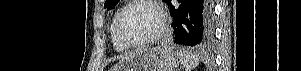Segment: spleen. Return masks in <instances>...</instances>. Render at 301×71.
Masks as SVG:
<instances>
[{
    "mask_svg": "<svg viewBox=\"0 0 301 71\" xmlns=\"http://www.w3.org/2000/svg\"><path fill=\"white\" fill-rule=\"evenodd\" d=\"M180 59V62L185 67L186 71H192L199 64L198 57L192 52L179 50L176 53Z\"/></svg>",
    "mask_w": 301,
    "mask_h": 71,
    "instance_id": "1",
    "label": "spleen"
}]
</instances>
